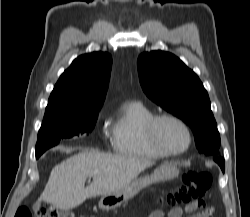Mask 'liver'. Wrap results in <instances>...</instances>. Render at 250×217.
<instances>
[{
  "label": "liver",
  "mask_w": 250,
  "mask_h": 217,
  "mask_svg": "<svg viewBox=\"0 0 250 217\" xmlns=\"http://www.w3.org/2000/svg\"><path fill=\"white\" fill-rule=\"evenodd\" d=\"M151 165L152 162L145 159L83 151L52 169L38 202L44 201L59 209H72L88 198L125 189ZM88 177L93 181L85 188Z\"/></svg>",
  "instance_id": "6515ba94"
}]
</instances>
